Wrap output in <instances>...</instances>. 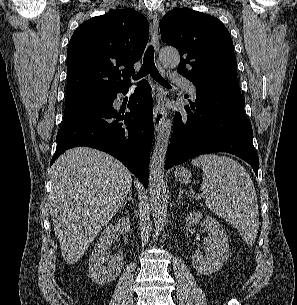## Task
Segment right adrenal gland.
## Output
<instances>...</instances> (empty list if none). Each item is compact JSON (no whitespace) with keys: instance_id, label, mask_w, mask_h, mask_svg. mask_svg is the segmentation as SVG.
Segmentation results:
<instances>
[{"instance_id":"1","label":"right adrenal gland","mask_w":297,"mask_h":305,"mask_svg":"<svg viewBox=\"0 0 297 305\" xmlns=\"http://www.w3.org/2000/svg\"><path fill=\"white\" fill-rule=\"evenodd\" d=\"M128 201H131V203L134 205V199L132 198V191H129L128 197L126 198L125 202L123 203L122 207L124 208Z\"/></svg>"}]
</instances>
